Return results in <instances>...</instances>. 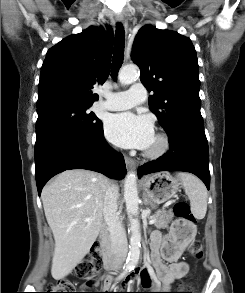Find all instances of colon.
I'll use <instances>...</instances> for the list:
<instances>
[{
  "label": "colon",
  "mask_w": 245,
  "mask_h": 293,
  "mask_svg": "<svg viewBox=\"0 0 245 293\" xmlns=\"http://www.w3.org/2000/svg\"><path fill=\"white\" fill-rule=\"evenodd\" d=\"M174 214L178 221L174 223L171 236L175 240L177 237L182 236L186 232V223H193L194 217L191 214L189 206L184 201H179L174 205ZM204 246L201 240H195L190 246L191 256L196 260H201L203 258ZM102 266L101 253L99 251L98 245L96 244L92 252L87 255L75 268L74 275L80 279H89L94 272L99 270ZM179 291H189V292H173V293H193L187 286H181ZM77 287L69 280L62 279L54 283L49 284L43 293H83L76 292Z\"/></svg>",
  "instance_id": "obj_1"
}]
</instances>
